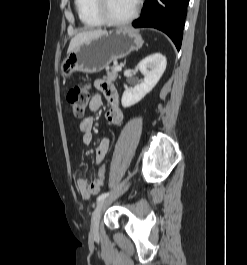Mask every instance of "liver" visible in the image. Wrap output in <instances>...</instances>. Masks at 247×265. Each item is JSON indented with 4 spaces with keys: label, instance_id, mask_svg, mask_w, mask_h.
Here are the masks:
<instances>
[{
    "label": "liver",
    "instance_id": "obj_1",
    "mask_svg": "<svg viewBox=\"0 0 247 265\" xmlns=\"http://www.w3.org/2000/svg\"><path fill=\"white\" fill-rule=\"evenodd\" d=\"M105 32L106 31L99 29V30L86 31V32H82V33L77 34L75 37H73L71 39L67 53H70L72 50H74L81 43L86 42V41L91 40V39H94V38L102 35Z\"/></svg>",
    "mask_w": 247,
    "mask_h": 265
}]
</instances>
